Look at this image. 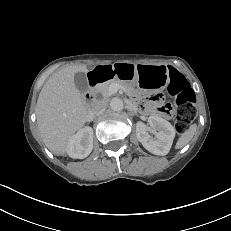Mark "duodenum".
I'll use <instances>...</instances> for the list:
<instances>
[{
    "label": "duodenum",
    "instance_id": "410a0bca",
    "mask_svg": "<svg viewBox=\"0 0 231 231\" xmlns=\"http://www.w3.org/2000/svg\"><path fill=\"white\" fill-rule=\"evenodd\" d=\"M103 79V71H95L92 74L89 75V83H90V89L91 91L86 93L85 100L89 101L94 96V90L96 88V85L98 82H100Z\"/></svg>",
    "mask_w": 231,
    "mask_h": 231
}]
</instances>
